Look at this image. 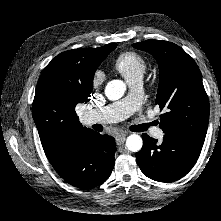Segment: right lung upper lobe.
<instances>
[{"label": "right lung upper lobe", "instance_id": "right-lung-upper-lobe-1", "mask_svg": "<svg viewBox=\"0 0 221 221\" xmlns=\"http://www.w3.org/2000/svg\"><path fill=\"white\" fill-rule=\"evenodd\" d=\"M108 47L65 51L44 68L36 86L32 114L46 156L74 134L93 131L80 124L75 106L90 100L93 79H88V73L92 74L105 59Z\"/></svg>", "mask_w": 221, "mask_h": 221}]
</instances>
